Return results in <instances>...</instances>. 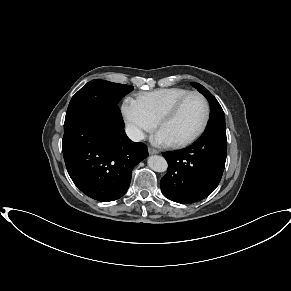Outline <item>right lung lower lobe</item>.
I'll use <instances>...</instances> for the list:
<instances>
[{
    "label": "right lung lower lobe",
    "mask_w": 291,
    "mask_h": 291,
    "mask_svg": "<svg viewBox=\"0 0 291 291\" xmlns=\"http://www.w3.org/2000/svg\"><path fill=\"white\" fill-rule=\"evenodd\" d=\"M62 151L67 171L87 196L102 202L122 197L135 165L148 156L147 147L124 131L118 106L88 121H65Z\"/></svg>",
    "instance_id": "1"
}]
</instances>
